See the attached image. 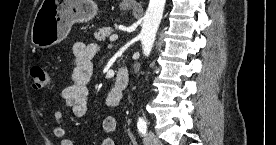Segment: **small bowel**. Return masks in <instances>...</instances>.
Returning a JSON list of instances; mask_svg holds the SVG:
<instances>
[{
    "label": "small bowel",
    "instance_id": "small-bowel-1",
    "mask_svg": "<svg viewBox=\"0 0 276 145\" xmlns=\"http://www.w3.org/2000/svg\"><path fill=\"white\" fill-rule=\"evenodd\" d=\"M74 59L72 63L71 83L61 93L63 105L70 108L74 117L82 118L88 110V83L93 73L92 59L96 54L94 46L83 43H76L73 46ZM122 94L118 93L114 87L109 91L106 98V105L110 108L118 106ZM54 120L57 123L54 128V136L61 140V145H73L72 141L65 137V129L61 125L63 113L60 110L54 112ZM103 128L105 132L111 133L117 129V120L114 116L104 119ZM102 145H115L110 137H106Z\"/></svg>",
    "mask_w": 276,
    "mask_h": 145
}]
</instances>
